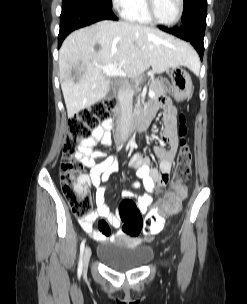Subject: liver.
<instances>
[{"instance_id": "obj_1", "label": "liver", "mask_w": 247, "mask_h": 304, "mask_svg": "<svg viewBox=\"0 0 247 304\" xmlns=\"http://www.w3.org/2000/svg\"><path fill=\"white\" fill-rule=\"evenodd\" d=\"M112 64L131 78L150 66L158 74L171 67L199 68L189 44L145 25L104 20L79 29L65 39L59 51L60 84L68 118L107 95L111 79L101 67Z\"/></svg>"}]
</instances>
